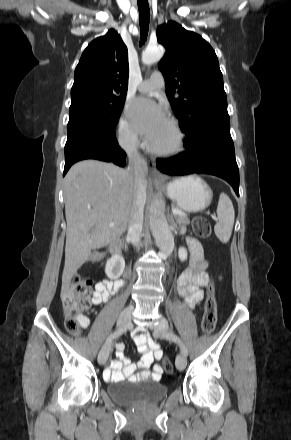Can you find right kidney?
Returning <instances> with one entry per match:
<instances>
[{
  "label": "right kidney",
  "instance_id": "ca27d5eb",
  "mask_svg": "<svg viewBox=\"0 0 291 440\" xmlns=\"http://www.w3.org/2000/svg\"><path fill=\"white\" fill-rule=\"evenodd\" d=\"M124 268V259L120 256H112L110 259L107 260L105 273L109 279L115 280L122 275Z\"/></svg>",
  "mask_w": 291,
  "mask_h": 440
}]
</instances>
